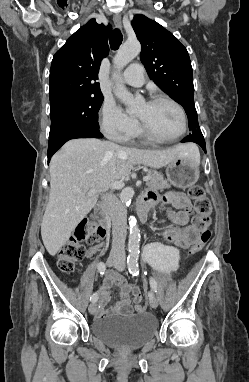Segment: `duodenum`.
<instances>
[{"label":"duodenum","mask_w":249,"mask_h":382,"mask_svg":"<svg viewBox=\"0 0 249 382\" xmlns=\"http://www.w3.org/2000/svg\"><path fill=\"white\" fill-rule=\"evenodd\" d=\"M149 208H150V205L145 200H141L137 204V212L141 222L147 221ZM94 215L96 219L98 220V222L100 223V225L102 226V232L104 234L108 223H107L105 212L101 204L96 205L94 209Z\"/></svg>","instance_id":"1"}]
</instances>
